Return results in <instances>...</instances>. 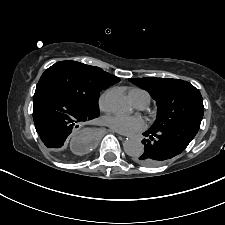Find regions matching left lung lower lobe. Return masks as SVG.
<instances>
[{"instance_id": "obj_1", "label": "left lung lower lobe", "mask_w": 225, "mask_h": 225, "mask_svg": "<svg viewBox=\"0 0 225 225\" xmlns=\"http://www.w3.org/2000/svg\"><path fill=\"white\" fill-rule=\"evenodd\" d=\"M200 123L187 122L161 131L148 129L143 133L144 151L135 161L146 166L161 165L182 153L198 132Z\"/></svg>"}]
</instances>
